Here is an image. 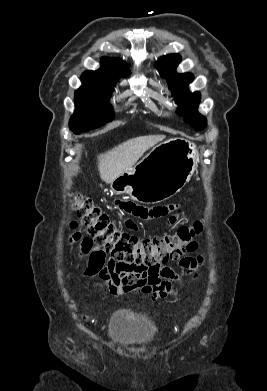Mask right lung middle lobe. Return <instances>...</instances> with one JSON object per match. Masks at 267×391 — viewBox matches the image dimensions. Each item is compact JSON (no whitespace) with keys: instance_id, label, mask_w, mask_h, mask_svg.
I'll list each match as a JSON object with an SVG mask.
<instances>
[{"instance_id":"right-lung-middle-lobe-1","label":"right lung middle lobe","mask_w":267,"mask_h":391,"mask_svg":"<svg viewBox=\"0 0 267 391\" xmlns=\"http://www.w3.org/2000/svg\"><path fill=\"white\" fill-rule=\"evenodd\" d=\"M110 94L79 88L75 93V112L69 121V128L79 134L104 125L113 120L114 113L109 105Z\"/></svg>"}]
</instances>
